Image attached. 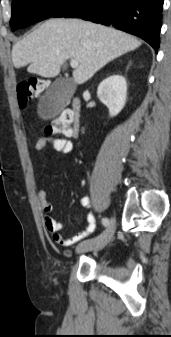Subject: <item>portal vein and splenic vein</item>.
Wrapping results in <instances>:
<instances>
[{"label":"portal vein and splenic vein","instance_id":"1","mask_svg":"<svg viewBox=\"0 0 171 337\" xmlns=\"http://www.w3.org/2000/svg\"><path fill=\"white\" fill-rule=\"evenodd\" d=\"M70 66H71L72 68H77V67H78V61H76V60H71V61H70Z\"/></svg>","mask_w":171,"mask_h":337}]
</instances>
